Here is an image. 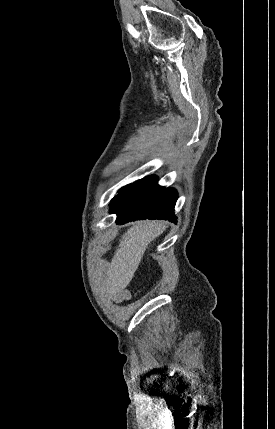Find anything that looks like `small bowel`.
Instances as JSON below:
<instances>
[{
  "label": "small bowel",
  "mask_w": 275,
  "mask_h": 429,
  "mask_svg": "<svg viewBox=\"0 0 275 429\" xmlns=\"http://www.w3.org/2000/svg\"><path fill=\"white\" fill-rule=\"evenodd\" d=\"M130 298V292L126 289H119L113 292L112 300L116 303L124 302Z\"/></svg>",
  "instance_id": "small-bowel-1"
}]
</instances>
